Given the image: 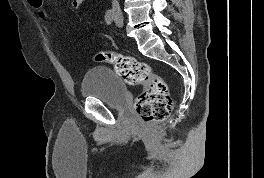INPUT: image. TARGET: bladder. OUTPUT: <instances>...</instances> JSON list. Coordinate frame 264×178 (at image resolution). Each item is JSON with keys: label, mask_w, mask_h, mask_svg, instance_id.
<instances>
[{"label": "bladder", "mask_w": 264, "mask_h": 178, "mask_svg": "<svg viewBox=\"0 0 264 178\" xmlns=\"http://www.w3.org/2000/svg\"><path fill=\"white\" fill-rule=\"evenodd\" d=\"M81 94L110 108H123L129 98L123 79L108 67L89 69L82 78Z\"/></svg>", "instance_id": "obj_1"}]
</instances>
